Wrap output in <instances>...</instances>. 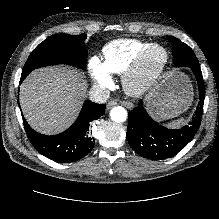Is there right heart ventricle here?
Masks as SVG:
<instances>
[{
	"mask_svg": "<svg viewBox=\"0 0 219 219\" xmlns=\"http://www.w3.org/2000/svg\"><path fill=\"white\" fill-rule=\"evenodd\" d=\"M153 43L138 39L120 38L107 43L101 61L109 73L122 74Z\"/></svg>",
	"mask_w": 219,
	"mask_h": 219,
	"instance_id": "e07e8e85",
	"label": "right heart ventricle"
}]
</instances>
